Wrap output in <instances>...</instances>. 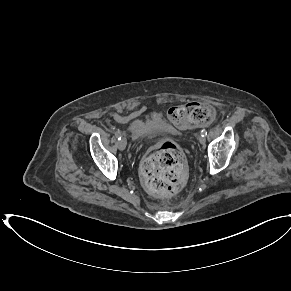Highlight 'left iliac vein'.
<instances>
[{
	"instance_id": "4c4485c4",
	"label": "left iliac vein",
	"mask_w": 291,
	"mask_h": 291,
	"mask_svg": "<svg viewBox=\"0 0 291 291\" xmlns=\"http://www.w3.org/2000/svg\"><path fill=\"white\" fill-rule=\"evenodd\" d=\"M198 141L200 142V144H205L206 142V138L205 136H202V134L198 135Z\"/></svg>"
}]
</instances>
